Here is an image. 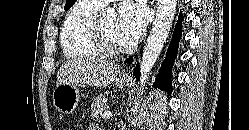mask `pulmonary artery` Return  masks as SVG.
I'll list each match as a JSON object with an SVG mask.
<instances>
[{
	"instance_id": "obj_1",
	"label": "pulmonary artery",
	"mask_w": 249,
	"mask_h": 130,
	"mask_svg": "<svg viewBox=\"0 0 249 130\" xmlns=\"http://www.w3.org/2000/svg\"><path fill=\"white\" fill-rule=\"evenodd\" d=\"M91 1H93L94 3H96L99 6H104L112 0H91Z\"/></svg>"
}]
</instances>
